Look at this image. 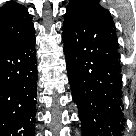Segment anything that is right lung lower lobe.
Here are the masks:
<instances>
[{
  "mask_svg": "<svg viewBox=\"0 0 136 136\" xmlns=\"http://www.w3.org/2000/svg\"><path fill=\"white\" fill-rule=\"evenodd\" d=\"M34 33L0 47V136H34L36 80Z\"/></svg>",
  "mask_w": 136,
  "mask_h": 136,
  "instance_id": "obj_1",
  "label": "right lung lower lobe"
}]
</instances>
